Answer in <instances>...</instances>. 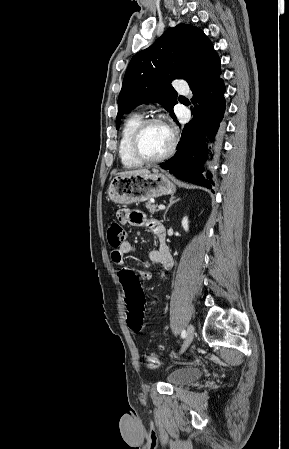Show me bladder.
<instances>
[{
	"label": "bladder",
	"mask_w": 289,
	"mask_h": 449,
	"mask_svg": "<svg viewBox=\"0 0 289 449\" xmlns=\"http://www.w3.org/2000/svg\"><path fill=\"white\" fill-rule=\"evenodd\" d=\"M202 374L198 368H179L169 374L168 382L173 386H181L199 379Z\"/></svg>",
	"instance_id": "bladder-1"
}]
</instances>
